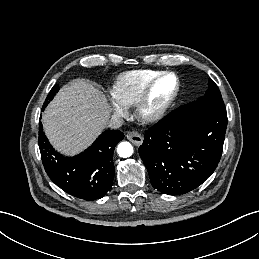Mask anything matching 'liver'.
<instances>
[{
  "label": "liver",
  "instance_id": "6515ba94",
  "mask_svg": "<svg viewBox=\"0 0 259 259\" xmlns=\"http://www.w3.org/2000/svg\"><path fill=\"white\" fill-rule=\"evenodd\" d=\"M110 112L101 91L86 80L76 79L60 89L46 108L42 122L53 147L73 156L106 128Z\"/></svg>",
  "mask_w": 259,
  "mask_h": 259
}]
</instances>
